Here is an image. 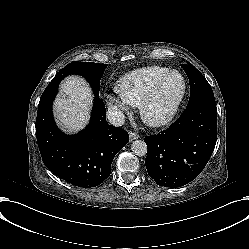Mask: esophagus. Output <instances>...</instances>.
Wrapping results in <instances>:
<instances>
[{
  "label": "esophagus",
  "mask_w": 249,
  "mask_h": 249,
  "mask_svg": "<svg viewBox=\"0 0 249 249\" xmlns=\"http://www.w3.org/2000/svg\"><path fill=\"white\" fill-rule=\"evenodd\" d=\"M129 137H130V140L133 141L135 139L140 138V135L138 133H134V132L130 131L129 132Z\"/></svg>",
  "instance_id": "obj_1"
}]
</instances>
